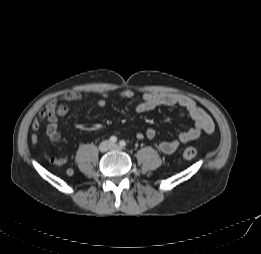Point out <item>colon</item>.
Returning <instances> with one entry per match:
<instances>
[{
    "label": "colon",
    "mask_w": 261,
    "mask_h": 254,
    "mask_svg": "<svg viewBox=\"0 0 261 254\" xmlns=\"http://www.w3.org/2000/svg\"><path fill=\"white\" fill-rule=\"evenodd\" d=\"M197 155V151L194 147H187L184 152H183V157L186 159V160H192L196 157ZM72 170L68 169L66 171V174L67 175H72Z\"/></svg>",
    "instance_id": "1"
}]
</instances>
